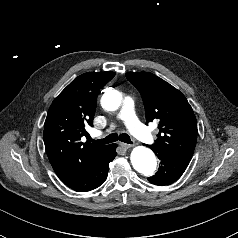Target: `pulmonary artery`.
<instances>
[{
    "mask_svg": "<svg viewBox=\"0 0 238 238\" xmlns=\"http://www.w3.org/2000/svg\"><path fill=\"white\" fill-rule=\"evenodd\" d=\"M118 117L125 122L128 129L138 139L147 143H151L153 141L152 135L145 128V126L139 121V119L135 114V105L132 97L130 96L125 97L122 109ZM99 134H100L99 132L96 133V135Z\"/></svg>",
    "mask_w": 238,
    "mask_h": 238,
    "instance_id": "pulmonary-artery-1",
    "label": "pulmonary artery"
}]
</instances>
